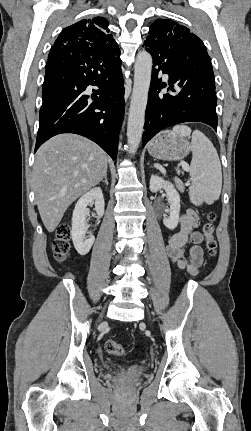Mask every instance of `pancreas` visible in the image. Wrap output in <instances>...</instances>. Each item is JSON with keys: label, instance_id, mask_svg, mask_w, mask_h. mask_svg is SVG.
<instances>
[{"label": "pancreas", "instance_id": "1", "mask_svg": "<svg viewBox=\"0 0 251 431\" xmlns=\"http://www.w3.org/2000/svg\"><path fill=\"white\" fill-rule=\"evenodd\" d=\"M175 183H176V185H177V188H178V190L181 192V193H183L184 192V190H185V187H184V184H183V182L181 181V180H179V179H175Z\"/></svg>", "mask_w": 251, "mask_h": 431}]
</instances>
